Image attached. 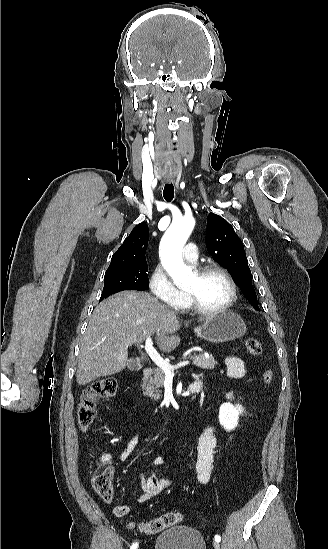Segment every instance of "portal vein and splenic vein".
Segmentation results:
<instances>
[{
	"label": "portal vein and splenic vein",
	"mask_w": 328,
	"mask_h": 549,
	"mask_svg": "<svg viewBox=\"0 0 328 549\" xmlns=\"http://www.w3.org/2000/svg\"><path fill=\"white\" fill-rule=\"evenodd\" d=\"M144 349L150 359H152L153 363H155L159 369H162L164 373H173L175 369H180V367H185V365L189 364V361H182L179 365H169V363L164 361L161 355L157 353L156 349H154L151 337H147Z\"/></svg>",
	"instance_id": "18ae733b"
}]
</instances>
